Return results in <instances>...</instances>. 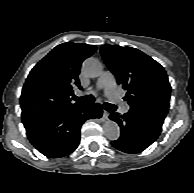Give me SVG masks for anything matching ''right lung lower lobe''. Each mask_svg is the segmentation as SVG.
I'll return each instance as SVG.
<instances>
[{"mask_svg":"<svg viewBox=\"0 0 194 193\" xmlns=\"http://www.w3.org/2000/svg\"><path fill=\"white\" fill-rule=\"evenodd\" d=\"M102 107L78 105L58 114L24 123L32 145L47 157L59 158L73 152L80 142V128L87 119L100 118Z\"/></svg>","mask_w":194,"mask_h":193,"instance_id":"obj_1","label":"right lung lower lobe"}]
</instances>
